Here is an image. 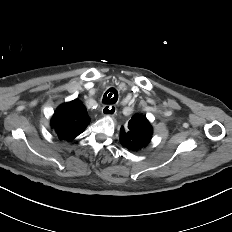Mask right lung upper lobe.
<instances>
[{
  "label": "right lung upper lobe",
  "instance_id": "1",
  "mask_svg": "<svg viewBox=\"0 0 232 232\" xmlns=\"http://www.w3.org/2000/svg\"><path fill=\"white\" fill-rule=\"evenodd\" d=\"M89 123L85 106L75 99L57 108L51 119V128L60 140L71 141L84 132Z\"/></svg>",
  "mask_w": 232,
  "mask_h": 232
}]
</instances>
